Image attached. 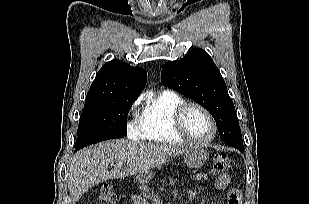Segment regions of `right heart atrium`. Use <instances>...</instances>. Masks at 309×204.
<instances>
[{
	"label": "right heart atrium",
	"mask_w": 309,
	"mask_h": 204,
	"mask_svg": "<svg viewBox=\"0 0 309 204\" xmlns=\"http://www.w3.org/2000/svg\"><path fill=\"white\" fill-rule=\"evenodd\" d=\"M137 107V103H135L132 107V110H135ZM128 132L131 136L133 137H138V128H137V125H136V122H132L129 124L128 126Z\"/></svg>",
	"instance_id": "d8ad5b80"
}]
</instances>
